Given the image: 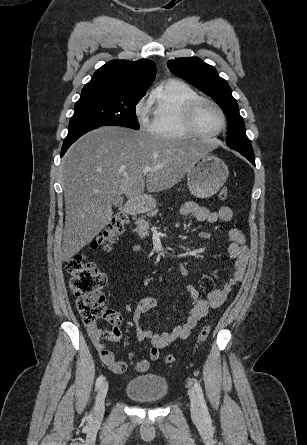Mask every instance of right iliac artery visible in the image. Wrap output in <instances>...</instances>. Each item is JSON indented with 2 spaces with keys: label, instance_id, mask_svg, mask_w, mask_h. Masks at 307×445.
I'll return each instance as SVG.
<instances>
[{
  "label": "right iliac artery",
  "instance_id": "obj_1",
  "mask_svg": "<svg viewBox=\"0 0 307 445\" xmlns=\"http://www.w3.org/2000/svg\"><path fill=\"white\" fill-rule=\"evenodd\" d=\"M104 380V377L101 375L98 377V379L96 380V390L101 386L102 382ZM91 414L88 416L89 419H91Z\"/></svg>",
  "mask_w": 307,
  "mask_h": 445
}]
</instances>
